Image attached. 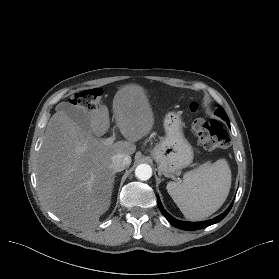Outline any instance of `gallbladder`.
<instances>
[{
	"label": "gallbladder",
	"instance_id": "1",
	"mask_svg": "<svg viewBox=\"0 0 279 279\" xmlns=\"http://www.w3.org/2000/svg\"><path fill=\"white\" fill-rule=\"evenodd\" d=\"M59 109H63L66 115L81 128H90L89 115L84 108L63 102L60 104Z\"/></svg>",
	"mask_w": 279,
	"mask_h": 279
}]
</instances>
